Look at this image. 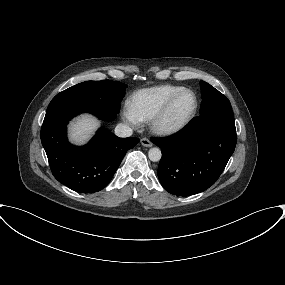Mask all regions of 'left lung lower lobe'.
<instances>
[{
    "label": "left lung lower lobe",
    "mask_w": 285,
    "mask_h": 285,
    "mask_svg": "<svg viewBox=\"0 0 285 285\" xmlns=\"http://www.w3.org/2000/svg\"><path fill=\"white\" fill-rule=\"evenodd\" d=\"M233 113L213 111L194 119L180 134L153 138L161 148V185L169 193L188 196L205 191L223 172L236 146Z\"/></svg>",
    "instance_id": "0a47b994"
}]
</instances>
